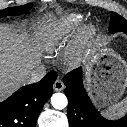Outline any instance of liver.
I'll return each mask as SVG.
<instances>
[{
    "instance_id": "liver-1",
    "label": "liver",
    "mask_w": 127,
    "mask_h": 127,
    "mask_svg": "<svg viewBox=\"0 0 127 127\" xmlns=\"http://www.w3.org/2000/svg\"><path fill=\"white\" fill-rule=\"evenodd\" d=\"M40 54L25 32L0 24V101L29 83V75L39 66Z\"/></svg>"
}]
</instances>
